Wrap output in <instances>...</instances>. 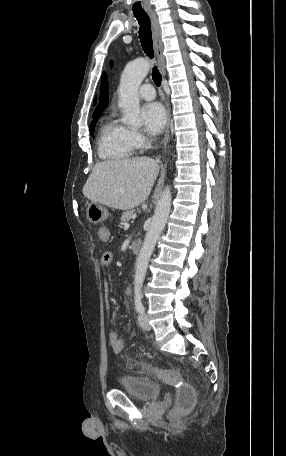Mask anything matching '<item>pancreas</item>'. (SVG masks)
Wrapping results in <instances>:
<instances>
[{
	"mask_svg": "<svg viewBox=\"0 0 286 456\" xmlns=\"http://www.w3.org/2000/svg\"><path fill=\"white\" fill-rule=\"evenodd\" d=\"M134 214H135L134 210H129V211L124 212L121 216V222H124V223L128 222Z\"/></svg>",
	"mask_w": 286,
	"mask_h": 456,
	"instance_id": "obj_1",
	"label": "pancreas"
}]
</instances>
